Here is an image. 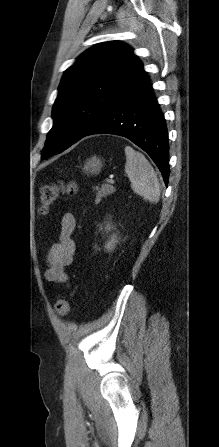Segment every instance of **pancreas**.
I'll list each match as a JSON object with an SVG mask.
<instances>
[{
    "label": "pancreas",
    "mask_w": 219,
    "mask_h": 447,
    "mask_svg": "<svg viewBox=\"0 0 219 447\" xmlns=\"http://www.w3.org/2000/svg\"><path fill=\"white\" fill-rule=\"evenodd\" d=\"M96 199H95V203H99L101 201L102 198L107 197L110 194H113L115 192V188L113 186L110 185H102L101 188L96 187Z\"/></svg>",
    "instance_id": "obj_1"
}]
</instances>
